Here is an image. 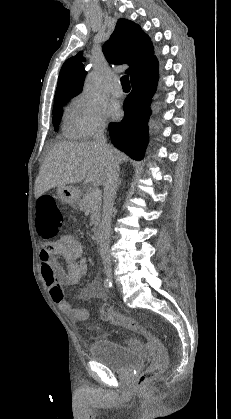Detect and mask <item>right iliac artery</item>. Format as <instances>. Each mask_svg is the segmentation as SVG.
I'll return each mask as SVG.
<instances>
[{
  "instance_id": "82829eb1",
  "label": "right iliac artery",
  "mask_w": 231,
  "mask_h": 419,
  "mask_svg": "<svg viewBox=\"0 0 231 419\" xmlns=\"http://www.w3.org/2000/svg\"><path fill=\"white\" fill-rule=\"evenodd\" d=\"M104 286H105V288H110V287H112V282L109 279H105L104 280Z\"/></svg>"
}]
</instances>
